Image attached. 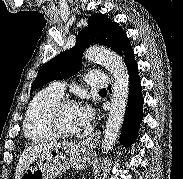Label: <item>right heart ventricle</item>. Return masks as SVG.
Listing matches in <instances>:
<instances>
[{
	"mask_svg": "<svg viewBox=\"0 0 183 179\" xmlns=\"http://www.w3.org/2000/svg\"><path fill=\"white\" fill-rule=\"evenodd\" d=\"M61 98L51 87L39 91L26 112L24 120V133L28 139L34 142H43L53 136L46 125V115L51 105Z\"/></svg>",
	"mask_w": 183,
	"mask_h": 179,
	"instance_id": "e07e8e85",
	"label": "right heart ventricle"
}]
</instances>
